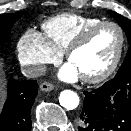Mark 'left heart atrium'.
I'll return each mask as SVG.
<instances>
[{
  "mask_svg": "<svg viewBox=\"0 0 131 131\" xmlns=\"http://www.w3.org/2000/svg\"><path fill=\"white\" fill-rule=\"evenodd\" d=\"M60 77L67 81H74L79 77V74L77 70L70 63H67L61 69Z\"/></svg>",
  "mask_w": 131,
  "mask_h": 131,
  "instance_id": "obj_1",
  "label": "left heart atrium"
}]
</instances>
